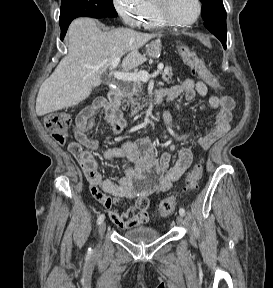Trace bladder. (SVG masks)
I'll return each mask as SVG.
<instances>
[{
	"mask_svg": "<svg viewBox=\"0 0 273 288\" xmlns=\"http://www.w3.org/2000/svg\"><path fill=\"white\" fill-rule=\"evenodd\" d=\"M160 232L152 227L138 226L127 230L123 233V237L134 243H148L159 238Z\"/></svg>",
	"mask_w": 273,
	"mask_h": 288,
	"instance_id": "31cf9c89",
	"label": "bladder"
}]
</instances>
